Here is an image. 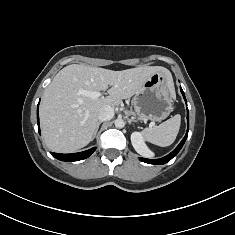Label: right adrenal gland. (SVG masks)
I'll list each match as a JSON object with an SVG mask.
<instances>
[{
  "label": "right adrenal gland",
  "mask_w": 235,
  "mask_h": 235,
  "mask_svg": "<svg viewBox=\"0 0 235 235\" xmlns=\"http://www.w3.org/2000/svg\"><path fill=\"white\" fill-rule=\"evenodd\" d=\"M101 123H102L101 121L98 122L97 127H96L95 132H94V135H93V139L95 138V136H96V134H97V132H98V129H99V126L101 125Z\"/></svg>",
  "instance_id": "1"
}]
</instances>
